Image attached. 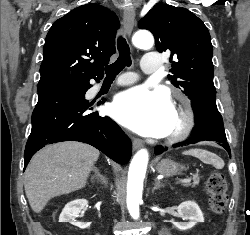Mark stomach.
Returning <instances> with one entry per match:
<instances>
[{
  "label": "stomach",
  "mask_w": 250,
  "mask_h": 235,
  "mask_svg": "<svg viewBox=\"0 0 250 235\" xmlns=\"http://www.w3.org/2000/svg\"><path fill=\"white\" fill-rule=\"evenodd\" d=\"M184 167L172 160L165 159L158 163L156 170L164 176H174L179 174Z\"/></svg>",
  "instance_id": "1"
}]
</instances>
